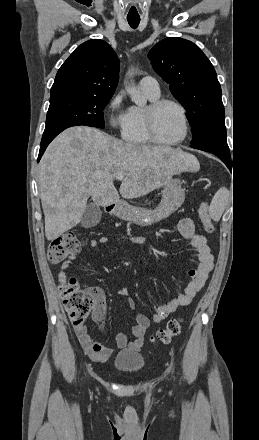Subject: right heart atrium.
<instances>
[{"instance_id":"d8ad5b80","label":"right heart atrium","mask_w":259,"mask_h":440,"mask_svg":"<svg viewBox=\"0 0 259 440\" xmlns=\"http://www.w3.org/2000/svg\"><path fill=\"white\" fill-rule=\"evenodd\" d=\"M124 94L114 95L108 103V123L110 127L123 133L128 123V110L123 108Z\"/></svg>"}]
</instances>
